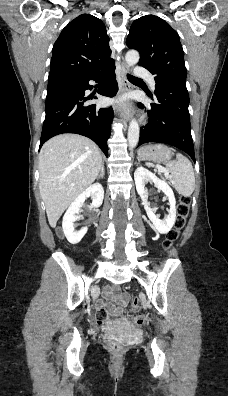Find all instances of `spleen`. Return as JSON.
<instances>
[{"label":"spleen","mask_w":228,"mask_h":396,"mask_svg":"<svg viewBox=\"0 0 228 396\" xmlns=\"http://www.w3.org/2000/svg\"><path fill=\"white\" fill-rule=\"evenodd\" d=\"M171 173L170 179L176 191L184 197H189L195 189V176L191 162L182 154L176 155V160L166 165Z\"/></svg>","instance_id":"obj_1"}]
</instances>
